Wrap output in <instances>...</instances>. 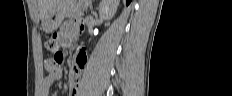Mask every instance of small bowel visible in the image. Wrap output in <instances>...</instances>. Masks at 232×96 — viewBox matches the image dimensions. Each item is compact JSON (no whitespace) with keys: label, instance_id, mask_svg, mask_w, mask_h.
<instances>
[{"label":"small bowel","instance_id":"1","mask_svg":"<svg viewBox=\"0 0 232 96\" xmlns=\"http://www.w3.org/2000/svg\"><path fill=\"white\" fill-rule=\"evenodd\" d=\"M79 14V19L64 22L59 32L56 34L60 46L68 45L69 43H83V38L77 37L81 33L80 30H83V27H86V22H81V20H86V15H83L84 13L82 11ZM48 64L49 62H47V66ZM86 64L87 56L85 52L78 51L74 56L73 68L69 76V96L79 95V83ZM61 77V69L46 75L41 81V95L47 96L52 85Z\"/></svg>","mask_w":232,"mask_h":96}]
</instances>
